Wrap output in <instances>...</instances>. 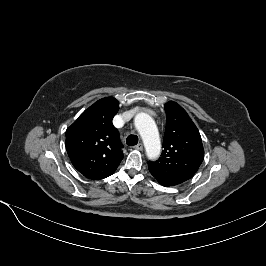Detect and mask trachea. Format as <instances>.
I'll return each mask as SVG.
<instances>
[{
    "instance_id": "trachea-1",
    "label": "trachea",
    "mask_w": 266,
    "mask_h": 266,
    "mask_svg": "<svg viewBox=\"0 0 266 266\" xmlns=\"http://www.w3.org/2000/svg\"><path fill=\"white\" fill-rule=\"evenodd\" d=\"M126 143L129 146H134V145H136L138 143V137L136 135H129L126 138Z\"/></svg>"
}]
</instances>
